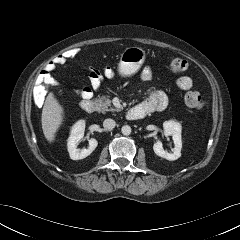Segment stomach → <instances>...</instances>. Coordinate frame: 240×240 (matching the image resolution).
<instances>
[{"label":"stomach","instance_id":"0dacf381","mask_svg":"<svg viewBox=\"0 0 240 240\" xmlns=\"http://www.w3.org/2000/svg\"><path fill=\"white\" fill-rule=\"evenodd\" d=\"M146 59L145 51L140 47H128L120 55L118 72L121 76L128 77L135 74Z\"/></svg>","mask_w":240,"mask_h":240}]
</instances>
